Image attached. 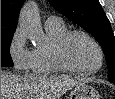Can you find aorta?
<instances>
[{
  "label": "aorta",
  "mask_w": 115,
  "mask_h": 99,
  "mask_svg": "<svg viewBox=\"0 0 115 99\" xmlns=\"http://www.w3.org/2000/svg\"><path fill=\"white\" fill-rule=\"evenodd\" d=\"M19 25L20 28L29 35L32 41L38 42L42 39L43 30L35 3L30 2L23 8Z\"/></svg>",
  "instance_id": "aorta-1"
}]
</instances>
